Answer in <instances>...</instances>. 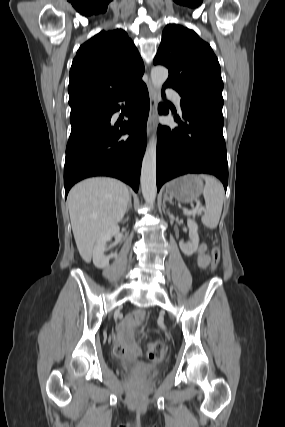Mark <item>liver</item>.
Segmentation results:
<instances>
[{
	"label": "liver",
	"mask_w": 285,
	"mask_h": 427,
	"mask_svg": "<svg viewBox=\"0 0 285 427\" xmlns=\"http://www.w3.org/2000/svg\"><path fill=\"white\" fill-rule=\"evenodd\" d=\"M129 196L124 183L103 177L84 180L70 190L68 207L72 231L85 262L91 261L95 241L123 219Z\"/></svg>",
	"instance_id": "6515ba94"
}]
</instances>
